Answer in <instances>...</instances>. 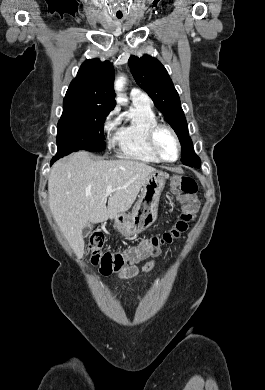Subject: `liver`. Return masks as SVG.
Here are the masks:
<instances>
[{
  "mask_svg": "<svg viewBox=\"0 0 265 390\" xmlns=\"http://www.w3.org/2000/svg\"><path fill=\"white\" fill-rule=\"evenodd\" d=\"M155 171L139 161L94 160L86 151L53 165L48 178L49 207L78 257L84 253V226L115 219L129 210L146 178ZM108 185L113 192L106 206L104 194Z\"/></svg>",
  "mask_w": 265,
  "mask_h": 390,
  "instance_id": "obj_1",
  "label": "liver"
}]
</instances>
